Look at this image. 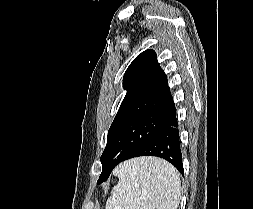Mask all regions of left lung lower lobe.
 <instances>
[{"instance_id": "1", "label": "left lung lower lobe", "mask_w": 253, "mask_h": 209, "mask_svg": "<svg viewBox=\"0 0 253 209\" xmlns=\"http://www.w3.org/2000/svg\"><path fill=\"white\" fill-rule=\"evenodd\" d=\"M178 123L176 118V113L168 124L155 135L140 151L136 154L126 157L123 160L117 161L112 164V166L101 173L98 184L106 181L112 170L120 162L138 156H157L161 157L171 164H173L178 171L183 174V163L182 154L180 149Z\"/></svg>"}]
</instances>
